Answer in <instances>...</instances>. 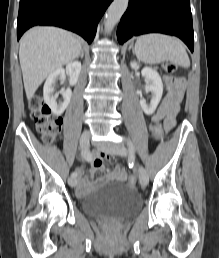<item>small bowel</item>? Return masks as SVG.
<instances>
[{
    "instance_id": "small-bowel-1",
    "label": "small bowel",
    "mask_w": 219,
    "mask_h": 258,
    "mask_svg": "<svg viewBox=\"0 0 219 258\" xmlns=\"http://www.w3.org/2000/svg\"><path fill=\"white\" fill-rule=\"evenodd\" d=\"M164 82L168 89H165L166 96H163V100H160V104L156 105L155 116L156 117H166L164 128L165 131H170L176 120V115L178 113V107L183 101V91L185 88V79L183 77L176 76H165ZM154 121V120H153ZM156 123H162V118H156ZM108 159V155L104 152H95L92 154L90 159L91 171L96 172L103 169L104 161ZM114 171H109L108 174H102L101 182L107 179H128L129 172L126 171V167H114ZM79 176V186L78 194L83 195L88 192L90 185L89 180L82 176V170L77 171Z\"/></svg>"
}]
</instances>
